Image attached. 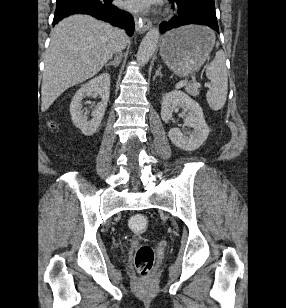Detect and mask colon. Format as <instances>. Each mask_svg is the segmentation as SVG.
<instances>
[{
	"label": "colon",
	"mask_w": 286,
	"mask_h": 308,
	"mask_svg": "<svg viewBox=\"0 0 286 308\" xmlns=\"http://www.w3.org/2000/svg\"><path fill=\"white\" fill-rule=\"evenodd\" d=\"M50 127H53L52 123H50ZM148 224V219L143 214H136L129 220L130 228L136 232H144L148 228ZM134 263L137 272L143 278H146L150 274L154 264L153 249L148 245L140 246L135 253Z\"/></svg>",
	"instance_id": "colon-1"
}]
</instances>
